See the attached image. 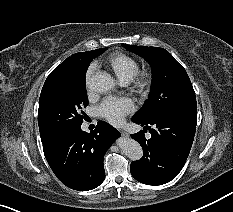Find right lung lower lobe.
<instances>
[{
    "mask_svg": "<svg viewBox=\"0 0 233 212\" xmlns=\"http://www.w3.org/2000/svg\"><path fill=\"white\" fill-rule=\"evenodd\" d=\"M118 130L104 121L93 132L76 127L43 146L45 157L58 179L67 187L87 191L105 179L103 158L116 138Z\"/></svg>",
    "mask_w": 233,
    "mask_h": 212,
    "instance_id": "obj_1",
    "label": "right lung lower lobe"
}]
</instances>
